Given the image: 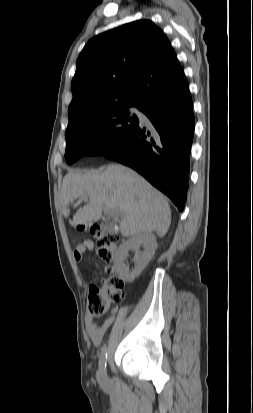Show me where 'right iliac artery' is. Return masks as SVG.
Instances as JSON below:
<instances>
[{
  "mask_svg": "<svg viewBox=\"0 0 253 413\" xmlns=\"http://www.w3.org/2000/svg\"><path fill=\"white\" fill-rule=\"evenodd\" d=\"M107 365V348L106 345L103 346L100 354L99 367L101 370L105 371Z\"/></svg>",
  "mask_w": 253,
  "mask_h": 413,
  "instance_id": "82829eb1",
  "label": "right iliac artery"
}]
</instances>
